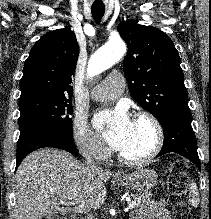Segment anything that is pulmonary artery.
I'll return each mask as SVG.
<instances>
[{
  "mask_svg": "<svg viewBox=\"0 0 211 219\" xmlns=\"http://www.w3.org/2000/svg\"><path fill=\"white\" fill-rule=\"evenodd\" d=\"M125 78L120 72H111L108 77L102 81L92 94V98L99 101L111 100L118 97L124 88Z\"/></svg>",
  "mask_w": 211,
  "mask_h": 219,
  "instance_id": "obj_1",
  "label": "pulmonary artery"
}]
</instances>
